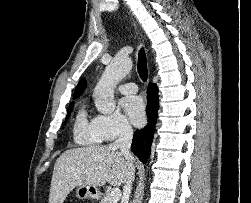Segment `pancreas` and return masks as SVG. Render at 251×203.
I'll return each mask as SVG.
<instances>
[{"label": "pancreas", "instance_id": "obj_1", "mask_svg": "<svg viewBox=\"0 0 251 203\" xmlns=\"http://www.w3.org/2000/svg\"><path fill=\"white\" fill-rule=\"evenodd\" d=\"M100 203H116L113 199L108 196V193L101 196Z\"/></svg>", "mask_w": 251, "mask_h": 203}]
</instances>
